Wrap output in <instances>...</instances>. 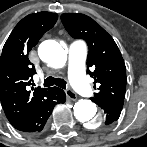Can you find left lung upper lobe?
Segmentation results:
<instances>
[{"mask_svg":"<svg viewBox=\"0 0 147 147\" xmlns=\"http://www.w3.org/2000/svg\"><path fill=\"white\" fill-rule=\"evenodd\" d=\"M61 20L73 38L84 39L88 44L87 74L94 78L97 90L91 100L98 106L124 100L126 67L113 38L84 14L64 13Z\"/></svg>","mask_w":147,"mask_h":147,"instance_id":"5c2ea615","label":"left lung upper lobe"}]
</instances>
